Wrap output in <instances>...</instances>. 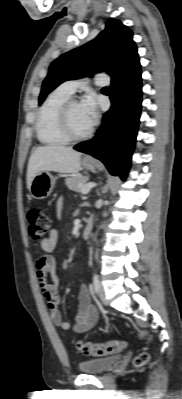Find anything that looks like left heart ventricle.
Masks as SVG:
<instances>
[{
  "mask_svg": "<svg viewBox=\"0 0 182 399\" xmlns=\"http://www.w3.org/2000/svg\"><path fill=\"white\" fill-rule=\"evenodd\" d=\"M69 119L71 129L77 135L85 133L91 127V123L84 115L80 103L78 102L72 104L70 108Z\"/></svg>",
  "mask_w": 182,
  "mask_h": 399,
  "instance_id": "left-heart-ventricle-1",
  "label": "left heart ventricle"
}]
</instances>
